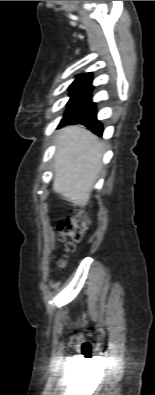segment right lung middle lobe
Returning <instances> with one entry per match:
<instances>
[{
	"label": "right lung middle lobe",
	"instance_id": "obj_1",
	"mask_svg": "<svg viewBox=\"0 0 155 395\" xmlns=\"http://www.w3.org/2000/svg\"><path fill=\"white\" fill-rule=\"evenodd\" d=\"M92 89L93 87L84 85H71L69 87L71 98L68 102L69 109L63 120L77 115L92 104L89 96Z\"/></svg>",
	"mask_w": 155,
	"mask_h": 395
}]
</instances>
